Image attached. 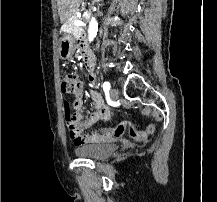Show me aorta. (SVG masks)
<instances>
[{"label":"aorta","mask_w":217,"mask_h":202,"mask_svg":"<svg viewBox=\"0 0 217 202\" xmlns=\"http://www.w3.org/2000/svg\"><path fill=\"white\" fill-rule=\"evenodd\" d=\"M98 32V24L95 18H91L88 26V40L89 42H93L94 38H96Z\"/></svg>","instance_id":"aorta-1"}]
</instances>
